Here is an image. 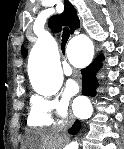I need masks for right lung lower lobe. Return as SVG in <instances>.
<instances>
[{
  "mask_svg": "<svg viewBox=\"0 0 124 149\" xmlns=\"http://www.w3.org/2000/svg\"><path fill=\"white\" fill-rule=\"evenodd\" d=\"M80 130V121L76 120L73 126L68 130L69 134L75 135Z\"/></svg>",
  "mask_w": 124,
  "mask_h": 149,
  "instance_id": "1",
  "label": "right lung lower lobe"
}]
</instances>
